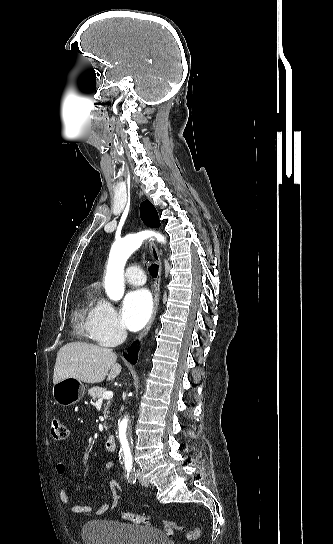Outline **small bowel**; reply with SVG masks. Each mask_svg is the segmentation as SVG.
Listing matches in <instances>:
<instances>
[{
  "label": "small bowel",
  "instance_id": "small-bowel-1",
  "mask_svg": "<svg viewBox=\"0 0 333 544\" xmlns=\"http://www.w3.org/2000/svg\"><path fill=\"white\" fill-rule=\"evenodd\" d=\"M114 468V462L108 461L103 467V471L106 473ZM56 472L60 475L65 474L66 472V463L64 461H59L56 464ZM110 487L112 490V500L110 503H104L98 507H91L87 505H81L72 500L67 494L64 488L60 489V500L68 506L69 510L73 514H90L94 516H99L104 514L109 509H113L118 505L120 499V486L116 480L110 481Z\"/></svg>",
  "mask_w": 333,
  "mask_h": 544
}]
</instances>
